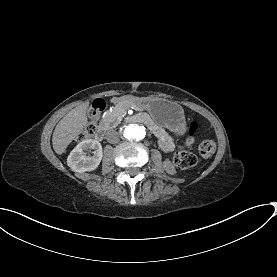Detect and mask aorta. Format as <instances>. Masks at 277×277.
<instances>
[{"instance_id": "762f6f07", "label": "aorta", "mask_w": 277, "mask_h": 277, "mask_svg": "<svg viewBox=\"0 0 277 277\" xmlns=\"http://www.w3.org/2000/svg\"><path fill=\"white\" fill-rule=\"evenodd\" d=\"M146 135V128L140 124H125L121 129V136L132 141L142 140Z\"/></svg>"}]
</instances>
